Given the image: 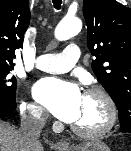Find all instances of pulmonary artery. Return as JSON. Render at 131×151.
Wrapping results in <instances>:
<instances>
[{
	"label": "pulmonary artery",
	"mask_w": 131,
	"mask_h": 151,
	"mask_svg": "<svg viewBox=\"0 0 131 151\" xmlns=\"http://www.w3.org/2000/svg\"><path fill=\"white\" fill-rule=\"evenodd\" d=\"M80 57V48L71 43L62 53H49L40 55L36 59V68L54 74L65 73L72 69Z\"/></svg>",
	"instance_id": "obj_1"
}]
</instances>
